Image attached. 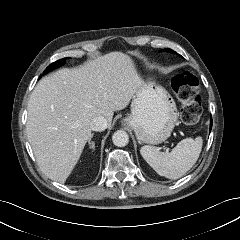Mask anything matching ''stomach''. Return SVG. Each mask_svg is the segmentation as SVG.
<instances>
[{
    "mask_svg": "<svg viewBox=\"0 0 240 240\" xmlns=\"http://www.w3.org/2000/svg\"><path fill=\"white\" fill-rule=\"evenodd\" d=\"M178 119L171 95L153 81L142 83L133 96L131 113L122 120L131 127L139 143L159 144L173 131Z\"/></svg>",
    "mask_w": 240,
    "mask_h": 240,
    "instance_id": "stomach-1",
    "label": "stomach"
}]
</instances>
